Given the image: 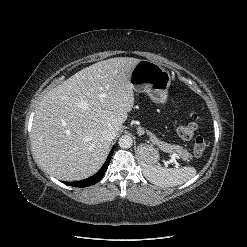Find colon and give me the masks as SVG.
<instances>
[{
    "mask_svg": "<svg viewBox=\"0 0 247 247\" xmlns=\"http://www.w3.org/2000/svg\"><path fill=\"white\" fill-rule=\"evenodd\" d=\"M197 115L190 114L187 118L181 121L177 126L178 134L184 139H190L194 136L197 130ZM206 141L203 137L197 136L194 139L193 152L196 156H200L206 149Z\"/></svg>",
    "mask_w": 247,
    "mask_h": 247,
    "instance_id": "colon-1",
    "label": "colon"
}]
</instances>
